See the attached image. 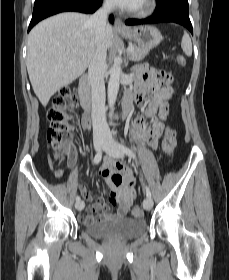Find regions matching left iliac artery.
Returning <instances> with one entry per match:
<instances>
[{
    "instance_id": "left-iliac-artery-1",
    "label": "left iliac artery",
    "mask_w": 229,
    "mask_h": 280,
    "mask_svg": "<svg viewBox=\"0 0 229 280\" xmlns=\"http://www.w3.org/2000/svg\"><path fill=\"white\" fill-rule=\"evenodd\" d=\"M120 148L122 149V151L128 155L129 157L133 158L136 160V155L135 153L129 148V147H126L124 145H119ZM144 181V179H142ZM144 185H145V191H146V196L147 197H151V191L150 189L148 188V186L145 184V181H144Z\"/></svg>"
}]
</instances>
